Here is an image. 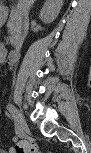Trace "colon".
I'll list each match as a JSON object with an SVG mask.
<instances>
[{"instance_id": "obj_1", "label": "colon", "mask_w": 91, "mask_h": 153, "mask_svg": "<svg viewBox=\"0 0 91 153\" xmlns=\"http://www.w3.org/2000/svg\"><path fill=\"white\" fill-rule=\"evenodd\" d=\"M39 147L30 141H20L14 147V153H38Z\"/></svg>"}]
</instances>
